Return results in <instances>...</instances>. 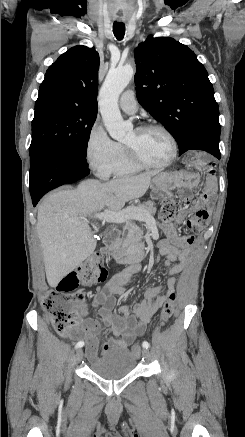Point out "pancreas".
<instances>
[{"label": "pancreas", "instance_id": "obj_1", "mask_svg": "<svg viewBox=\"0 0 245 437\" xmlns=\"http://www.w3.org/2000/svg\"><path fill=\"white\" fill-rule=\"evenodd\" d=\"M136 209L138 215L135 220L143 221L147 216H153L156 212L154 202L148 201L137 207H130ZM128 208V209H130ZM119 236L114 241L113 246L118 248H132L138 245H142L143 231L140 227L132 222H127L122 226V231H118ZM121 236V237H120Z\"/></svg>", "mask_w": 245, "mask_h": 437}]
</instances>
